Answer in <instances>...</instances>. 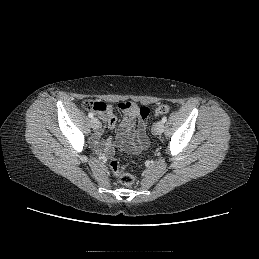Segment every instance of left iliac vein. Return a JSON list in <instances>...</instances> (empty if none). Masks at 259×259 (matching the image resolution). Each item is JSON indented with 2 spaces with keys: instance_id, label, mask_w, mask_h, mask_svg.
Wrapping results in <instances>:
<instances>
[{
  "instance_id": "left-iliac-vein-1",
  "label": "left iliac vein",
  "mask_w": 259,
  "mask_h": 259,
  "mask_svg": "<svg viewBox=\"0 0 259 259\" xmlns=\"http://www.w3.org/2000/svg\"><path fill=\"white\" fill-rule=\"evenodd\" d=\"M164 131V123L162 121H158L154 126V132L157 135L162 134Z\"/></svg>"
}]
</instances>
